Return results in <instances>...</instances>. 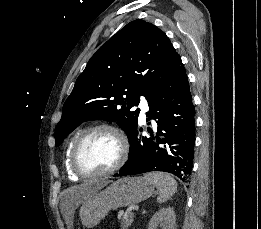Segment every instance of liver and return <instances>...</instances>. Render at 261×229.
Segmentation results:
<instances>
[{"instance_id": "6515ba94", "label": "liver", "mask_w": 261, "mask_h": 229, "mask_svg": "<svg viewBox=\"0 0 261 229\" xmlns=\"http://www.w3.org/2000/svg\"><path fill=\"white\" fill-rule=\"evenodd\" d=\"M100 189H102L101 185H88V183H84V185L76 187L74 199L76 203H84L90 195H93L96 191H100Z\"/></svg>"}]
</instances>
